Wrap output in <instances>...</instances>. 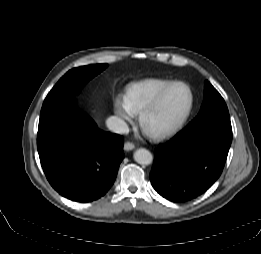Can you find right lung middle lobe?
<instances>
[{"instance_id": "right-lung-middle-lobe-1", "label": "right lung middle lobe", "mask_w": 261, "mask_h": 254, "mask_svg": "<svg viewBox=\"0 0 261 254\" xmlns=\"http://www.w3.org/2000/svg\"><path fill=\"white\" fill-rule=\"evenodd\" d=\"M107 66L108 64L88 65L68 71L52 88L44 102L77 94L86 82Z\"/></svg>"}]
</instances>
